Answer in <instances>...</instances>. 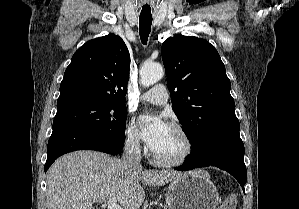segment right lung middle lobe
<instances>
[{
	"label": "right lung middle lobe",
	"instance_id": "obj_1",
	"mask_svg": "<svg viewBox=\"0 0 299 209\" xmlns=\"http://www.w3.org/2000/svg\"><path fill=\"white\" fill-rule=\"evenodd\" d=\"M126 106L121 103L75 101L57 104L53 123L70 122L90 130L120 135L125 133Z\"/></svg>",
	"mask_w": 299,
	"mask_h": 209
}]
</instances>
